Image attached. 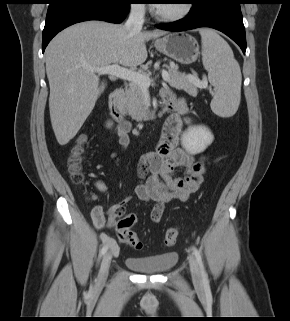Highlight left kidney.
<instances>
[{
	"mask_svg": "<svg viewBox=\"0 0 290 321\" xmlns=\"http://www.w3.org/2000/svg\"><path fill=\"white\" fill-rule=\"evenodd\" d=\"M212 133L204 126L188 128L181 137L182 146L190 154L203 152L213 141Z\"/></svg>",
	"mask_w": 290,
	"mask_h": 321,
	"instance_id": "5707ae66",
	"label": "left kidney"
}]
</instances>
